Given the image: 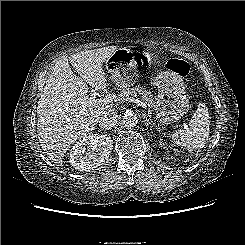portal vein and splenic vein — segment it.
<instances>
[{
	"label": "portal vein and splenic vein",
	"mask_w": 245,
	"mask_h": 245,
	"mask_svg": "<svg viewBox=\"0 0 245 245\" xmlns=\"http://www.w3.org/2000/svg\"><path fill=\"white\" fill-rule=\"evenodd\" d=\"M95 98H96V92L94 90H92L91 91V96L89 97L90 103H92L93 101H95ZM124 100H126L128 102H134V103H136L137 105H139V106H141L143 108H146L147 107L145 103H143L142 101H140L138 99H135L133 97H128V98H126ZM184 127H186V125H184Z\"/></svg>",
	"instance_id": "1"
}]
</instances>
